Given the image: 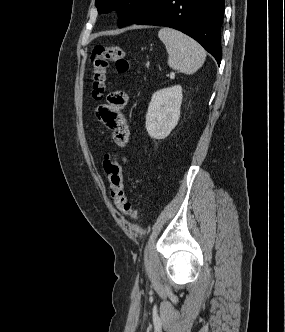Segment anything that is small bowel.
I'll return each instance as SVG.
<instances>
[{"instance_id":"c3829d8e","label":"small bowel","mask_w":285,"mask_h":332,"mask_svg":"<svg viewBox=\"0 0 285 332\" xmlns=\"http://www.w3.org/2000/svg\"><path fill=\"white\" fill-rule=\"evenodd\" d=\"M127 102V93L117 90L109 95L108 103L96 109L97 119L112 131L113 141L120 148L128 144L130 137L129 127L123 114Z\"/></svg>"}]
</instances>
